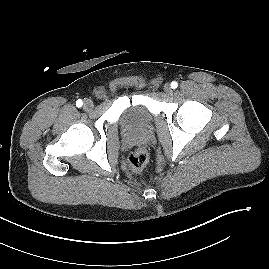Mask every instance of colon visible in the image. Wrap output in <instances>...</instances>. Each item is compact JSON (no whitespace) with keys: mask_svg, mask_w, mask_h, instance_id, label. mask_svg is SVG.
Masks as SVG:
<instances>
[{"mask_svg":"<svg viewBox=\"0 0 269 269\" xmlns=\"http://www.w3.org/2000/svg\"><path fill=\"white\" fill-rule=\"evenodd\" d=\"M127 162L134 171L143 169L148 162V154L144 149H136L128 154Z\"/></svg>","mask_w":269,"mask_h":269,"instance_id":"1","label":"colon"}]
</instances>
